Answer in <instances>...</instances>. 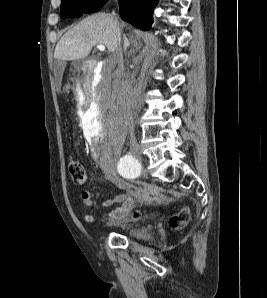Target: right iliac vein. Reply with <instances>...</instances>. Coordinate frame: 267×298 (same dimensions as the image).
<instances>
[{"label": "right iliac vein", "mask_w": 267, "mask_h": 298, "mask_svg": "<svg viewBox=\"0 0 267 298\" xmlns=\"http://www.w3.org/2000/svg\"><path fill=\"white\" fill-rule=\"evenodd\" d=\"M131 151H132V153L135 157L141 158V151H140V148L137 144H133L131 146Z\"/></svg>", "instance_id": "1"}]
</instances>
